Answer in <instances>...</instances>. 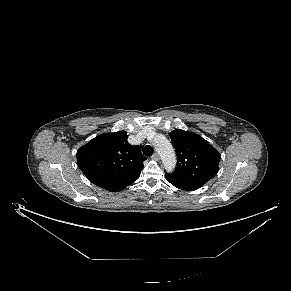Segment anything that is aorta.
<instances>
[{
    "label": "aorta",
    "instance_id": "1",
    "mask_svg": "<svg viewBox=\"0 0 291 291\" xmlns=\"http://www.w3.org/2000/svg\"><path fill=\"white\" fill-rule=\"evenodd\" d=\"M153 145L157 153L160 155L164 168L171 172L176 165V155L171 142L162 134L156 135Z\"/></svg>",
    "mask_w": 291,
    "mask_h": 291
}]
</instances>
